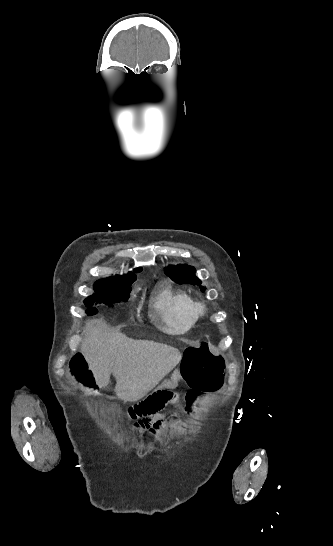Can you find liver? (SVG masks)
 Segmentation results:
<instances>
[{
	"mask_svg": "<svg viewBox=\"0 0 333 546\" xmlns=\"http://www.w3.org/2000/svg\"><path fill=\"white\" fill-rule=\"evenodd\" d=\"M81 353L98 388L108 385L112 373L114 392L124 402L143 398L182 358L174 347L109 332L100 321L87 325Z\"/></svg>",
	"mask_w": 333,
	"mask_h": 546,
	"instance_id": "liver-1",
	"label": "liver"
}]
</instances>
